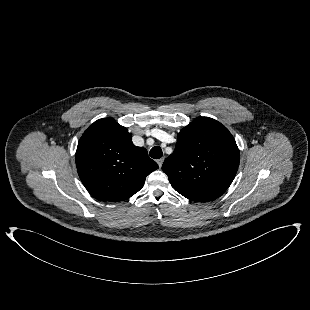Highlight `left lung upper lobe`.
I'll list each match as a JSON object with an SVG mask.
<instances>
[{
    "label": "left lung upper lobe",
    "instance_id": "obj_1",
    "mask_svg": "<svg viewBox=\"0 0 310 310\" xmlns=\"http://www.w3.org/2000/svg\"><path fill=\"white\" fill-rule=\"evenodd\" d=\"M174 152L162 169L184 197L207 202L220 197L232 183L240 162L235 139L220 122L198 117L181 129Z\"/></svg>",
    "mask_w": 310,
    "mask_h": 310
}]
</instances>
